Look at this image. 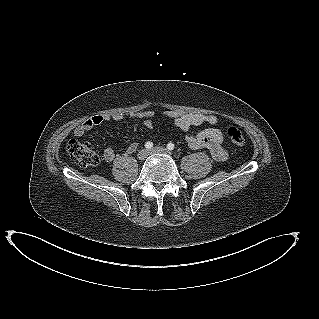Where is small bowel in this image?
I'll list each match as a JSON object with an SVG mask.
<instances>
[{
    "mask_svg": "<svg viewBox=\"0 0 319 319\" xmlns=\"http://www.w3.org/2000/svg\"><path fill=\"white\" fill-rule=\"evenodd\" d=\"M161 115L172 119L175 126L185 133V141L191 149H207L212 157L217 161H224L228 153L223 147L224 136L220 129L215 126L218 124V117L213 114H193L181 113L177 110H165ZM155 113L151 110L138 111L131 114V118L136 127L151 128L153 126L152 119ZM123 119L121 113L100 114L88 118L82 124L77 126L74 130L76 137H83L86 132L93 129L104 122L114 120L120 121ZM208 124L212 127L202 130L198 133H191L190 130L193 126ZM137 149V144L131 142L125 149V154H133ZM116 151L112 147H107L102 155V159L106 162H111L116 157Z\"/></svg>",
    "mask_w": 319,
    "mask_h": 319,
    "instance_id": "1",
    "label": "small bowel"
}]
</instances>
